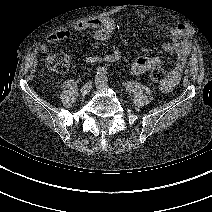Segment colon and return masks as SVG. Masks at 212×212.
I'll list each match as a JSON object with an SVG mask.
<instances>
[{
  "label": "colon",
  "instance_id": "colon-1",
  "mask_svg": "<svg viewBox=\"0 0 212 212\" xmlns=\"http://www.w3.org/2000/svg\"><path fill=\"white\" fill-rule=\"evenodd\" d=\"M45 66L54 72L65 73L76 68L74 59L64 53H53L44 58ZM149 78L155 83L162 84L166 81V73L161 65L153 67L149 72Z\"/></svg>",
  "mask_w": 212,
  "mask_h": 212
}]
</instances>
